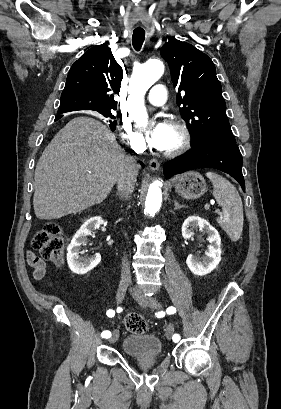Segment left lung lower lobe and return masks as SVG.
Listing matches in <instances>:
<instances>
[{"instance_id":"1","label":"left lung lower lobe","mask_w":281,"mask_h":409,"mask_svg":"<svg viewBox=\"0 0 281 409\" xmlns=\"http://www.w3.org/2000/svg\"><path fill=\"white\" fill-rule=\"evenodd\" d=\"M242 163V155L236 143L204 140L192 144V149L186 154L166 163L164 175L170 177L195 168H216L236 179L245 192Z\"/></svg>"}]
</instances>
